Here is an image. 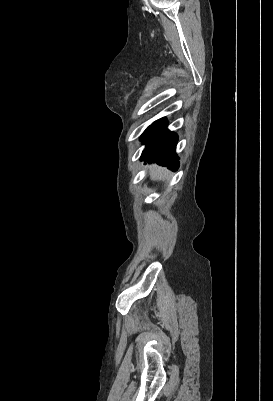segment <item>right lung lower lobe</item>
Returning <instances> with one entry per match:
<instances>
[{
	"label": "right lung lower lobe",
	"mask_w": 273,
	"mask_h": 401,
	"mask_svg": "<svg viewBox=\"0 0 273 401\" xmlns=\"http://www.w3.org/2000/svg\"><path fill=\"white\" fill-rule=\"evenodd\" d=\"M167 124L165 118H161L142 134L141 141L146 146L141 160L149 163L157 162L159 165L167 166L175 171L179 167V158L175 153L178 139L174 132L166 129Z\"/></svg>",
	"instance_id": "obj_1"
}]
</instances>
